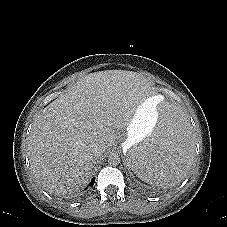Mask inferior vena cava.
<instances>
[{
    "instance_id": "1",
    "label": "inferior vena cava",
    "mask_w": 227,
    "mask_h": 227,
    "mask_svg": "<svg viewBox=\"0 0 227 227\" xmlns=\"http://www.w3.org/2000/svg\"><path fill=\"white\" fill-rule=\"evenodd\" d=\"M104 147H105V144H98L95 146V151L100 152L104 149Z\"/></svg>"
}]
</instances>
